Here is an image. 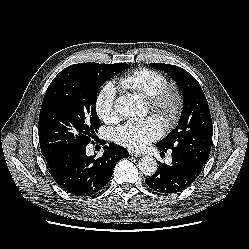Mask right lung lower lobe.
<instances>
[{
	"instance_id": "right-lung-lower-lobe-1",
	"label": "right lung lower lobe",
	"mask_w": 249,
	"mask_h": 249,
	"mask_svg": "<svg viewBox=\"0 0 249 249\" xmlns=\"http://www.w3.org/2000/svg\"><path fill=\"white\" fill-rule=\"evenodd\" d=\"M101 157L86 155V147L49 165V172L56 183L75 196H91L98 193L110 181L116 163L129 157L127 150L109 143Z\"/></svg>"
}]
</instances>
